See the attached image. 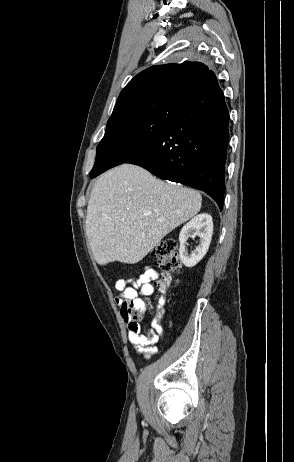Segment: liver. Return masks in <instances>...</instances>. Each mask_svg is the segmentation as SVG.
I'll return each mask as SVG.
<instances>
[{"instance_id":"6515ba94","label":"liver","mask_w":294,"mask_h":462,"mask_svg":"<svg viewBox=\"0 0 294 462\" xmlns=\"http://www.w3.org/2000/svg\"><path fill=\"white\" fill-rule=\"evenodd\" d=\"M199 192L165 183L142 167L122 164L95 183L85 232L100 265L142 260L168 233L201 209Z\"/></svg>"}]
</instances>
